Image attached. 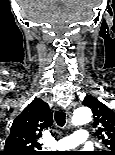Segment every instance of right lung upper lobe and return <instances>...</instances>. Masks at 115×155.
Returning <instances> with one entry per match:
<instances>
[{
  "label": "right lung upper lobe",
  "instance_id": "cb5924a9",
  "mask_svg": "<svg viewBox=\"0 0 115 155\" xmlns=\"http://www.w3.org/2000/svg\"><path fill=\"white\" fill-rule=\"evenodd\" d=\"M52 113L49 105L35 98L12 123L10 135L0 155H46L38 139L43 129L51 127Z\"/></svg>",
  "mask_w": 115,
  "mask_h": 155
}]
</instances>
